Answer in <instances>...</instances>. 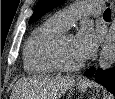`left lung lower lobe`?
<instances>
[{"instance_id": "1", "label": "left lung lower lobe", "mask_w": 115, "mask_h": 99, "mask_svg": "<svg viewBox=\"0 0 115 99\" xmlns=\"http://www.w3.org/2000/svg\"><path fill=\"white\" fill-rule=\"evenodd\" d=\"M94 74V67L88 69L84 75L91 76ZM95 79L104 85L108 90H110L113 94H115V69L102 71L98 70L95 74Z\"/></svg>"}]
</instances>
